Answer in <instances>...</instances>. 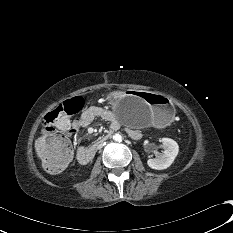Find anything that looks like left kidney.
I'll use <instances>...</instances> for the list:
<instances>
[{
  "label": "left kidney",
  "mask_w": 233,
  "mask_h": 233,
  "mask_svg": "<svg viewBox=\"0 0 233 233\" xmlns=\"http://www.w3.org/2000/svg\"><path fill=\"white\" fill-rule=\"evenodd\" d=\"M161 142L164 146L163 153H160L156 158H150L147 161L148 166L155 170L168 168L173 163L179 152V146L173 139L162 138Z\"/></svg>",
  "instance_id": "obj_1"
}]
</instances>
